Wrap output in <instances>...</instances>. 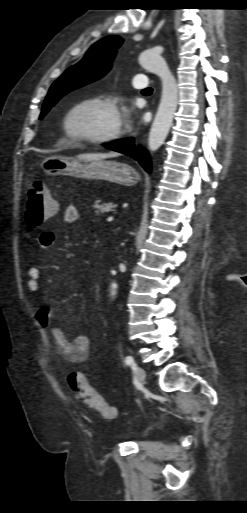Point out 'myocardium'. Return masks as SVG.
<instances>
[{
	"label": "myocardium",
	"instance_id": "f54148a6",
	"mask_svg": "<svg viewBox=\"0 0 247 513\" xmlns=\"http://www.w3.org/2000/svg\"><path fill=\"white\" fill-rule=\"evenodd\" d=\"M89 105H100V106L108 107V108L114 110L119 117L118 105L112 98H108V97H104V96H97V95L85 97V98H82V99L72 103L64 110V112L61 116V129L64 132V134L68 138H70L74 141L91 143V144H105V143H109V142H112V141L118 139L123 133V125H122V122L120 121V118L118 120L116 127L112 131H110L106 134H103V135H97V136L86 135V134L76 133L71 129L70 120H71L72 115L79 108L89 106Z\"/></svg>",
	"mask_w": 247,
	"mask_h": 513
}]
</instances>
